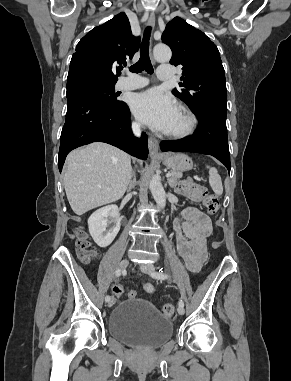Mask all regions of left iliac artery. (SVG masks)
Wrapping results in <instances>:
<instances>
[{
    "mask_svg": "<svg viewBox=\"0 0 291 381\" xmlns=\"http://www.w3.org/2000/svg\"><path fill=\"white\" fill-rule=\"evenodd\" d=\"M150 275H151L153 278H155V279H159V280H165V279H168V278H169V276H168L166 273H164L163 271H161V270H159L158 272H153V273H151ZM179 305L184 306V302H183V300H180V301H179Z\"/></svg>",
    "mask_w": 291,
    "mask_h": 381,
    "instance_id": "44dca946",
    "label": "left iliac artery"
}]
</instances>
